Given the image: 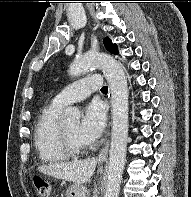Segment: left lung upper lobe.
Returning a JSON list of instances; mask_svg holds the SVG:
<instances>
[{"label":"left lung upper lobe","mask_w":191,"mask_h":197,"mask_svg":"<svg viewBox=\"0 0 191 197\" xmlns=\"http://www.w3.org/2000/svg\"><path fill=\"white\" fill-rule=\"evenodd\" d=\"M104 45H105V48L110 52V53H113V54H118V48L116 46V44H113L112 41L106 37L104 39Z\"/></svg>","instance_id":"5c2ea615"}]
</instances>
